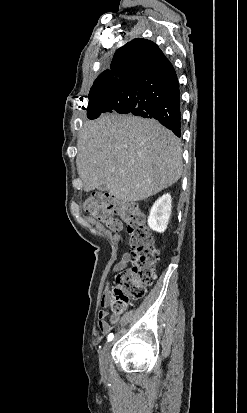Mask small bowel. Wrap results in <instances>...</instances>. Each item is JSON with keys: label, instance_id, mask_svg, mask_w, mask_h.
<instances>
[{"label": "small bowel", "instance_id": "1", "mask_svg": "<svg viewBox=\"0 0 247 413\" xmlns=\"http://www.w3.org/2000/svg\"><path fill=\"white\" fill-rule=\"evenodd\" d=\"M130 255L128 253H124L120 259V261L116 264L115 270L121 271L125 269L130 262ZM111 294H110V285L107 284L101 298L102 306H107L110 302ZM108 313L105 310H101L98 313V330L102 335H107L110 333L113 326L117 325L120 322V316L113 314L110 316L109 320H106Z\"/></svg>", "mask_w": 247, "mask_h": 413}]
</instances>
